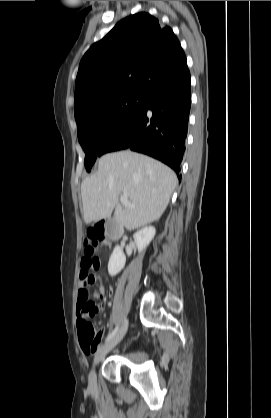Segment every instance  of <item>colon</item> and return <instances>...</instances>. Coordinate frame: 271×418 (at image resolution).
<instances>
[{
  "label": "colon",
  "instance_id": "colon-1",
  "mask_svg": "<svg viewBox=\"0 0 271 418\" xmlns=\"http://www.w3.org/2000/svg\"><path fill=\"white\" fill-rule=\"evenodd\" d=\"M107 230V224L104 221H99L90 225L85 233V258L89 260L90 266H94L95 268L98 266V261L94 258V253L98 246L105 242ZM92 315L94 316L95 314ZM77 327L82 349L86 351L95 349L99 343L100 337L93 324L81 323L79 319Z\"/></svg>",
  "mask_w": 271,
  "mask_h": 418
}]
</instances>
